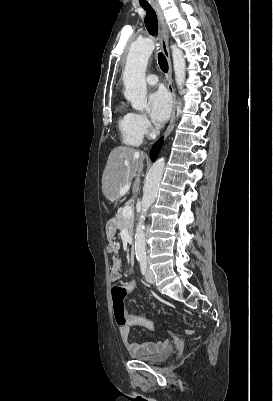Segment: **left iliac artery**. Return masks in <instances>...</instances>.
<instances>
[{"label":"left iliac artery","instance_id":"left-iliac-artery-1","mask_svg":"<svg viewBox=\"0 0 273 401\" xmlns=\"http://www.w3.org/2000/svg\"><path fill=\"white\" fill-rule=\"evenodd\" d=\"M140 268L143 274H145L146 268H147V259L146 257L141 258L140 260Z\"/></svg>","mask_w":273,"mask_h":401}]
</instances>
